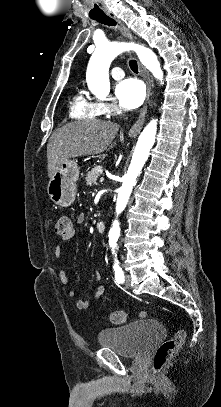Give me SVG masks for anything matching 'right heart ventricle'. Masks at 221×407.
<instances>
[{"mask_svg": "<svg viewBox=\"0 0 221 407\" xmlns=\"http://www.w3.org/2000/svg\"><path fill=\"white\" fill-rule=\"evenodd\" d=\"M103 113L97 107V103L86 97L81 90H77L69 102V117L72 119L99 118Z\"/></svg>", "mask_w": 221, "mask_h": 407, "instance_id": "e07e8e85", "label": "right heart ventricle"}]
</instances>
